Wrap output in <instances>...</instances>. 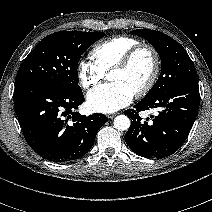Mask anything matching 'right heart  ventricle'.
<instances>
[{
  "label": "right heart ventricle",
  "instance_id": "right-heart-ventricle-1",
  "mask_svg": "<svg viewBox=\"0 0 212 212\" xmlns=\"http://www.w3.org/2000/svg\"><path fill=\"white\" fill-rule=\"evenodd\" d=\"M139 41L129 36H115L93 47L91 54L94 62L104 72L119 62L122 57Z\"/></svg>",
  "mask_w": 212,
  "mask_h": 212
}]
</instances>
